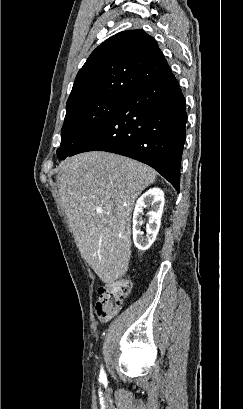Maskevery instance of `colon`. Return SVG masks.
Listing matches in <instances>:
<instances>
[{"instance_id":"obj_1","label":"colon","mask_w":243,"mask_h":409,"mask_svg":"<svg viewBox=\"0 0 243 409\" xmlns=\"http://www.w3.org/2000/svg\"><path fill=\"white\" fill-rule=\"evenodd\" d=\"M131 290L129 280L120 278L108 281L98 288L95 311L97 317L106 321L114 316Z\"/></svg>"}]
</instances>
